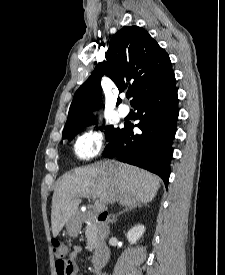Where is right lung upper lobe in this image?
Returning <instances> with one entry per match:
<instances>
[{
  "label": "right lung upper lobe",
  "instance_id": "obj_1",
  "mask_svg": "<svg viewBox=\"0 0 225 275\" xmlns=\"http://www.w3.org/2000/svg\"><path fill=\"white\" fill-rule=\"evenodd\" d=\"M111 78L119 89L132 90L133 100L159 91L175 79L166 51L138 26L124 27L111 39L106 61L97 64L92 75L78 88L71 103L65 127L87 119L101 98L100 80ZM121 100L118 98L117 104Z\"/></svg>",
  "mask_w": 225,
  "mask_h": 275
}]
</instances>
